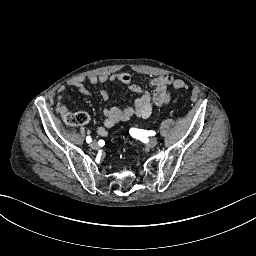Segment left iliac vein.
Listing matches in <instances>:
<instances>
[{"label":"left iliac vein","mask_w":256,"mask_h":256,"mask_svg":"<svg viewBox=\"0 0 256 256\" xmlns=\"http://www.w3.org/2000/svg\"><path fill=\"white\" fill-rule=\"evenodd\" d=\"M157 143H158L157 138H151L150 141L148 142V147L153 148L157 145Z\"/></svg>","instance_id":"1"}]
</instances>
